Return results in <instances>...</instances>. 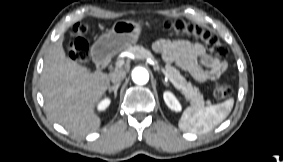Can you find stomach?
Listing matches in <instances>:
<instances>
[{"label": "stomach", "instance_id": "stomach-1", "mask_svg": "<svg viewBox=\"0 0 283 162\" xmlns=\"http://www.w3.org/2000/svg\"><path fill=\"white\" fill-rule=\"evenodd\" d=\"M143 30V24L134 20H119L115 22L111 30L100 36L92 46V52L96 59H104L134 45Z\"/></svg>", "mask_w": 283, "mask_h": 162}]
</instances>
